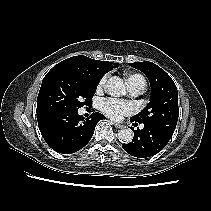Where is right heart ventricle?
<instances>
[{"label": "right heart ventricle", "instance_id": "obj_1", "mask_svg": "<svg viewBox=\"0 0 211 211\" xmlns=\"http://www.w3.org/2000/svg\"><path fill=\"white\" fill-rule=\"evenodd\" d=\"M127 83L129 86H131L132 84H137V83H143L144 85H146V81L144 77L141 76L140 74L129 75L127 77Z\"/></svg>", "mask_w": 211, "mask_h": 211}]
</instances>
